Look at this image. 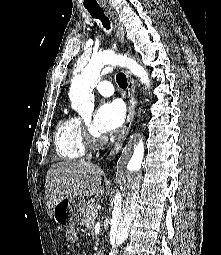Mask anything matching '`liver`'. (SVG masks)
I'll return each instance as SVG.
<instances>
[{
    "mask_svg": "<svg viewBox=\"0 0 221 255\" xmlns=\"http://www.w3.org/2000/svg\"><path fill=\"white\" fill-rule=\"evenodd\" d=\"M103 170L91 162L65 161L54 164L47 172L45 199L47 212L53 217L54 207L68 196L100 198L104 192Z\"/></svg>",
    "mask_w": 221,
    "mask_h": 255,
    "instance_id": "obj_1",
    "label": "liver"
}]
</instances>
